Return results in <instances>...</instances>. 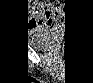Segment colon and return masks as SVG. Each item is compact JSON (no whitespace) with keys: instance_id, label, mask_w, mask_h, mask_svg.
Instances as JSON below:
<instances>
[{"instance_id":"5ec220e1","label":"colon","mask_w":93,"mask_h":83,"mask_svg":"<svg viewBox=\"0 0 93 83\" xmlns=\"http://www.w3.org/2000/svg\"><path fill=\"white\" fill-rule=\"evenodd\" d=\"M26 11H28V9L26 8ZM30 13H33V18H37V17H41V21L46 20L49 21L51 19L52 13L50 11H46L44 13L38 12V11H31L29 10Z\"/></svg>"}]
</instances>
